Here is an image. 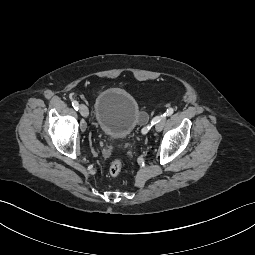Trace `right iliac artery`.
I'll use <instances>...</instances> for the list:
<instances>
[{"mask_svg":"<svg viewBox=\"0 0 255 255\" xmlns=\"http://www.w3.org/2000/svg\"><path fill=\"white\" fill-rule=\"evenodd\" d=\"M72 106L74 107L75 110L79 109V103L75 100L72 102Z\"/></svg>","mask_w":255,"mask_h":255,"instance_id":"82829eb1","label":"right iliac artery"}]
</instances>
